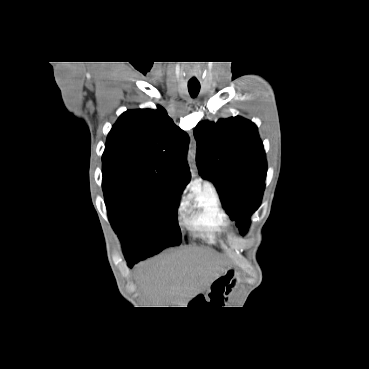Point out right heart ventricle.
Listing matches in <instances>:
<instances>
[{
    "label": "right heart ventricle",
    "instance_id": "obj_1",
    "mask_svg": "<svg viewBox=\"0 0 369 369\" xmlns=\"http://www.w3.org/2000/svg\"><path fill=\"white\" fill-rule=\"evenodd\" d=\"M184 221L196 235L210 242L229 225L216 190L207 184L191 196Z\"/></svg>",
    "mask_w": 369,
    "mask_h": 369
}]
</instances>
